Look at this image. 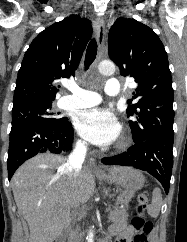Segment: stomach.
<instances>
[{"label": "stomach", "instance_id": "0dacf381", "mask_svg": "<svg viewBox=\"0 0 187 242\" xmlns=\"http://www.w3.org/2000/svg\"><path fill=\"white\" fill-rule=\"evenodd\" d=\"M99 179L114 183L119 189V195L117 197V203L126 207L134 195V193L140 190L144 186L145 177L143 174L133 168L126 167L116 177H109V175L98 174ZM126 212L125 209H122ZM119 217L114 221L117 222Z\"/></svg>", "mask_w": 187, "mask_h": 242}]
</instances>
